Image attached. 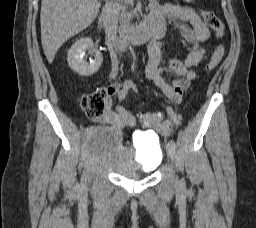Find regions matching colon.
Returning <instances> with one entry per match:
<instances>
[{
    "instance_id": "obj_1",
    "label": "colon",
    "mask_w": 256,
    "mask_h": 228,
    "mask_svg": "<svg viewBox=\"0 0 256 228\" xmlns=\"http://www.w3.org/2000/svg\"><path fill=\"white\" fill-rule=\"evenodd\" d=\"M185 3H190L192 0H182ZM200 15L205 21L206 25L210 27L218 38L223 37L224 35V24L222 21L211 11L201 10ZM224 47L218 46L209 62L205 67L206 72H211L214 70L219 63L221 62L224 56ZM106 94L104 90L96 91L90 94H87L81 99V107L85 114L90 118L100 117L105 110ZM162 114L160 112H148L140 116L141 123L146 127H151L161 123Z\"/></svg>"
}]
</instances>
